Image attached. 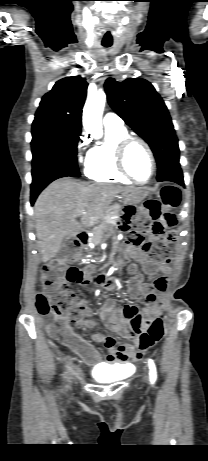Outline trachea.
Masks as SVG:
<instances>
[{
  "label": "trachea",
  "instance_id": "1",
  "mask_svg": "<svg viewBox=\"0 0 208 461\" xmlns=\"http://www.w3.org/2000/svg\"><path fill=\"white\" fill-rule=\"evenodd\" d=\"M104 47L108 48L111 46V44H102Z\"/></svg>",
  "mask_w": 208,
  "mask_h": 461
}]
</instances>
